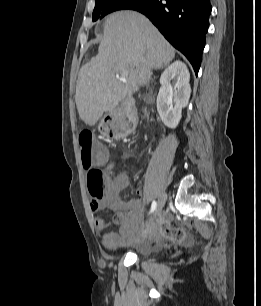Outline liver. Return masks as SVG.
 <instances>
[{
    "instance_id": "liver-1",
    "label": "liver",
    "mask_w": 261,
    "mask_h": 306,
    "mask_svg": "<svg viewBox=\"0 0 261 306\" xmlns=\"http://www.w3.org/2000/svg\"><path fill=\"white\" fill-rule=\"evenodd\" d=\"M175 49L142 14L125 10L110 14L98 55L79 71L75 101L80 118L95 125L104 112L149 83L152 69L163 68ZM128 72L122 83L118 74Z\"/></svg>"
}]
</instances>
